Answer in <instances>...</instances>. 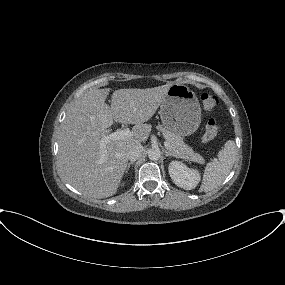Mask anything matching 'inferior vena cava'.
Segmentation results:
<instances>
[{
    "mask_svg": "<svg viewBox=\"0 0 285 285\" xmlns=\"http://www.w3.org/2000/svg\"><path fill=\"white\" fill-rule=\"evenodd\" d=\"M143 152V146L141 144H135L127 152V158L130 161H136L139 159Z\"/></svg>",
    "mask_w": 285,
    "mask_h": 285,
    "instance_id": "inferior-vena-cava-1",
    "label": "inferior vena cava"
}]
</instances>
